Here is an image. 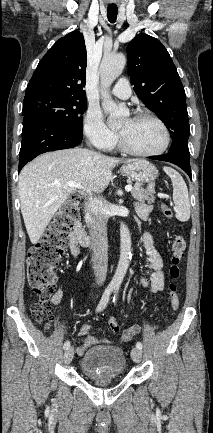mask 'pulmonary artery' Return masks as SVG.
Instances as JSON below:
<instances>
[{"label": "pulmonary artery", "instance_id": "e3ab8cb5", "mask_svg": "<svg viewBox=\"0 0 213 433\" xmlns=\"http://www.w3.org/2000/svg\"><path fill=\"white\" fill-rule=\"evenodd\" d=\"M111 93L120 99H128L132 93L128 80L125 78L119 79Z\"/></svg>", "mask_w": 213, "mask_h": 433}]
</instances>
